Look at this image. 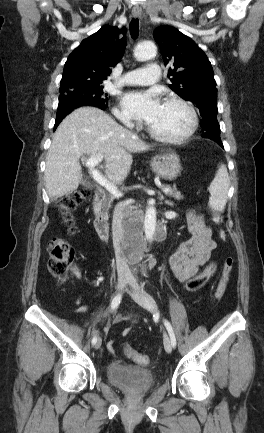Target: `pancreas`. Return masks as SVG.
<instances>
[{"label": "pancreas", "mask_w": 264, "mask_h": 433, "mask_svg": "<svg viewBox=\"0 0 264 433\" xmlns=\"http://www.w3.org/2000/svg\"><path fill=\"white\" fill-rule=\"evenodd\" d=\"M170 196L174 197L176 200L183 199V196L176 190V187H173V191L168 193ZM114 200V197L109 195L103 202L102 211L105 216H108V211L111 207V204Z\"/></svg>", "instance_id": "pancreas-1"}]
</instances>
